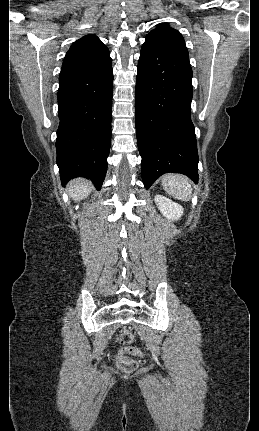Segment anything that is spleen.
Listing matches in <instances>:
<instances>
[{
	"mask_svg": "<svg viewBox=\"0 0 259 431\" xmlns=\"http://www.w3.org/2000/svg\"><path fill=\"white\" fill-rule=\"evenodd\" d=\"M162 186L164 190L174 198L181 201H189L192 194V188L189 180L180 174H166L162 177Z\"/></svg>",
	"mask_w": 259,
	"mask_h": 431,
	"instance_id": "obj_1",
	"label": "spleen"
}]
</instances>
